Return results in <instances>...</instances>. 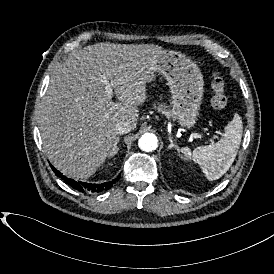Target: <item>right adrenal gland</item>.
<instances>
[{"label":"right adrenal gland","mask_w":274,"mask_h":274,"mask_svg":"<svg viewBox=\"0 0 274 274\" xmlns=\"http://www.w3.org/2000/svg\"><path fill=\"white\" fill-rule=\"evenodd\" d=\"M119 141H120L119 138H116V139H115V145H114L113 151H112V153H111V157H114V156L117 154V152H116L115 150H116V147H117V143H118Z\"/></svg>","instance_id":"2a0ac1e0"}]
</instances>
